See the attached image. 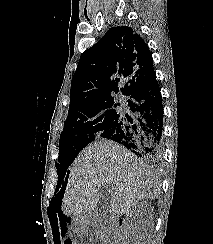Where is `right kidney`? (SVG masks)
<instances>
[{"mask_svg":"<svg viewBox=\"0 0 213 244\" xmlns=\"http://www.w3.org/2000/svg\"><path fill=\"white\" fill-rule=\"evenodd\" d=\"M144 208H151V205L147 203L146 201L140 202L135 208L130 212L129 216H137L139 214V211Z\"/></svg>","mask_w":213,"mask_h":244,"instance_id":"right-kidney-1","label":"right kidney"}]
</instances>
